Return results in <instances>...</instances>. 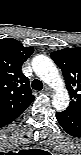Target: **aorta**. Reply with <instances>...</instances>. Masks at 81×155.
<instances>
[{"label":"aorta","mask_w":81,"mask_h":155,"mask_svg":"<svg viewBox=\"0 0 81 155\" xmlns=\"http://www.w3.org/2000/svg\"><path fill=\"white\" fill-rule=\"evenodd\" d=\"M36 65L40 77L56 91L54 104L57 106L66 105L68 93L57 69L47 59H39Z\"/></svg>","instance_id":"762f6f07"}]
</instances>
